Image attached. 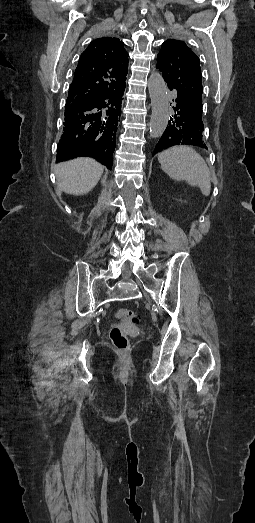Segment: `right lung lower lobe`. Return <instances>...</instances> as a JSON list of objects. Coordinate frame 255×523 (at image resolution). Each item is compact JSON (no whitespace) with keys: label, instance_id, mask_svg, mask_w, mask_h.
Returning a JSON list of instances; mask_svg holds the SVG:
<instances>
[{"label":"right lung lower lobe","instance_id":"right-lung-lower-lobe-1","mask_svg":"<svg viewBox=\"0 0 255 523\" xmlns=\"http://www.w3.org/2000/svg\"><path fill=\"white\" fill-rule=\"evenodd\" d=\"M100 103L92 100L90 103L83 101L79 104V113L83 117V144L85 150L90 152L92 145L100 142Z\"/></svg>","mask_w":255,"mask_h":523}]
</instances>
